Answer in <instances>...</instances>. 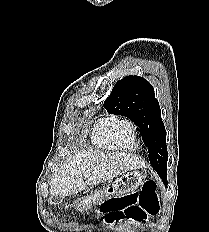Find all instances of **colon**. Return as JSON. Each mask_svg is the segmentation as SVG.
Masks as SVG:
<instances>
[{"label": "colon", "mask_w": 209, "mask_h": 232, "mask_svg": "<svg viewBox=\"0 0 209 232\" xmlns=\"http://www.w3.org/2000/svg\"><path fill=\"white\" fill-rule=\"evenodd\" d=\"M101 205L100 211L105 214L109 226L125 219L145 221L148 217L157 215L160 209L157 187L151 180L144 181L140 191L125 194L118 199L109 197Z\"/></svg>", "instance_id": "1"}]
</instances>
